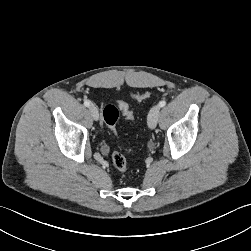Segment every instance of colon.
Segmentation results:
<instances>
[{
  "mask_svg": "<svg viewBox=\"0 0 251 251\" xmlns=\"http://www.w3.org/2000/svg\"><path fill=\"white\" fill-rule=\"evenodd\" d=\"M132 96L137 100L145 99L149 96L148 92L145 93H134ZM119 111L122 112L124 117L128 120H133L134 115L130 110L129 106L122 101L117 102V104H109L103 109V119L106 126L109 128L111 133L116 136V123L119 117ZM112 164L120 172L124 173L127 170V164L124 156L118 152L112 154Z\"/></svg>",
  "mask_w": 251,
  "mask_h": 251,
  "instance_id": "obj_1",
  "label": "colon"
}]
</instances>
